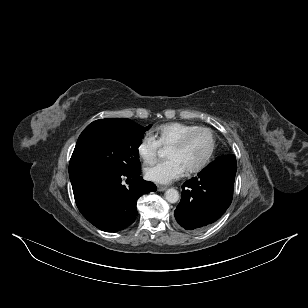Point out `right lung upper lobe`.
Returning a JSON list of instances; mask_svg holds the SVG:
<instances>
[{
	"label": "right lung upper lobe",
	"mask_w": 308,
	"mask_h": 308,
	"mask_svg": "<svg viewBox=\"0 0 308 308\" xmlns=\"http://www.w3.org/2000/svg\"><path fill=\"white\" fill-rule=\"evenodd\" d=\"M131 120L129 119H114V118H110V119H99L96 120L94 122H92L90 125H96V124H102V123H112V124H127L129 123Z\"/></svg>",
	"instance_id": "obj_1"
}]
</instances>
